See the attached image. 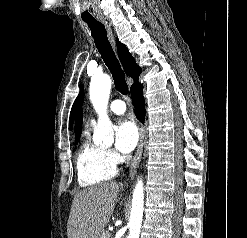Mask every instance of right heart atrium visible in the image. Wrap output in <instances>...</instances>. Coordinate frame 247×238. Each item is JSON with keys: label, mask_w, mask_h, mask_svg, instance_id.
Listing matches in <instances>:
<instances>
[{"label": "right heart atrium", "mask_w": 247, "mask_h": 238, "mask_svg": "<svg viewBox=\"0 0 247 238\" xmlns=\"http://www.w3.org/2000/svg\"><path fill=\"white\" fill-rule=\"evenodd\" d=\"M107 156H108L109 160L115 165H117L120 162V157L115 152H113L111 150L107 151Z\"/></svg>", "instance_id": "right-heart-atrium-1"}]
</instances>
